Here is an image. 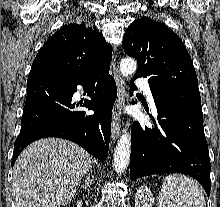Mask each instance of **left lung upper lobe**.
I'll use <instances>...</instances> for the list:
<instances>
[{"label": "left lung upper lobe", "instance_id": "obj_1", "mask_svg": "<svg viewBox=\"0 0 220 207\" xmlns=\"http://www.w3.org/2000/svg\"><path fill=\"white\" fill-rule=\"evenodd\" d=\"M123 48L138 62L136 77H148L151 90L177 81L198 83L182 40L167 26L148 17L130 24Z\"/></svg>", "mask_w": 220, "mask_h": 207}]
</instances>
